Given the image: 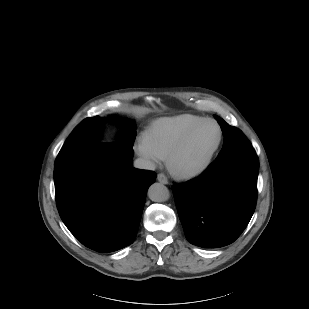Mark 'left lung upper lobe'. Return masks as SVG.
<instances>
[{
    "label": "left lung upper lobe",
    "instance_id": "obj_1",
    "mask_svg": "<svg viewBox=\"0 0 309 309\" xmlns=\"http://www.w3.org/2000/svg\"><path fill=\"white\" fill-rule=\"evenodd\" d=\"M214 117L221 125L224 134L223 148L218 157H222L242 149L252 148L251 143L239 129L228 125L222 118L216 115H214Z\"/></svg>",
    "mask_w": 309,
    "mask_h": 309
}]
</instances>
